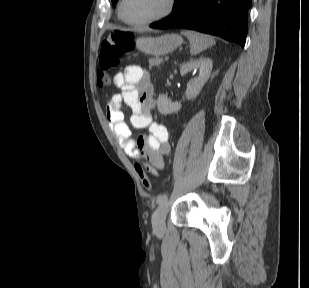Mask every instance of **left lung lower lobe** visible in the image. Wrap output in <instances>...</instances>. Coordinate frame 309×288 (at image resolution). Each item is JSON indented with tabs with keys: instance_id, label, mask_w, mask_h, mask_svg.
Returning a JSON list of instances; mask_svg holds the SVG:
<instances>
[{
	"instance_id": "left-lung-lower-lobe-1",
	"label": "left lung lower lobe",
	"mask_w": 309,
	"mask_h": 288,
	"mask_svg": "<svg viewBox=\"0 0 309 288\" xmlns=\"http://www.w3.org/2000/svg\"><path fill=\"white\" fill-rule=\"evenodd\" d=\"M250 5L251 0H175L174 11L150 27L193 29L220 36L243 47Z\"/></svg>"
}]
</instances>
